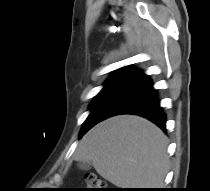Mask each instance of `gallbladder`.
Masks as SVG:
<instances>
[{
  "label": "gallbladder",
  "instance_id": "gallbladder-1",
  "mask_svg": "<svg viewBox=\"0 0 210 191\" xmlns=\"http://www.w3.org/2000/svg\"><path fill=\"white\" fill-rule=\"evenodd\" d=\"M77 166L81 170H89L91 168V164L85 161H79Z\"/></svg>",
  "mask_w": 210,
  "mask_h": 191
}]
</instances>
